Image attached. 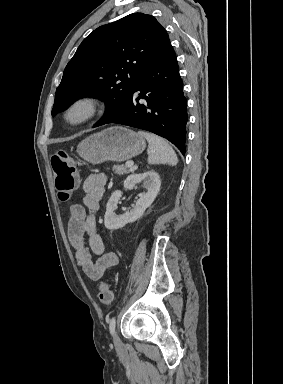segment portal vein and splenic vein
Wrapping results in <instances>:
<instances>
[{
  "instance_id": "1",
  "label": "portal vein and splenic vein",
  "mask_w": 283,
  "mask_h": 384,
  "mask_svg": "<svg viewBox=\"0 0 283 384\" xmlns=\"http://www.w3.org/2000/svg\"><path fill=\"white\" fill-rule=\"evenodd\" d=\"M125 166L126 168H133L134 162H126Z\"/></svg>"
}]
</instances>
